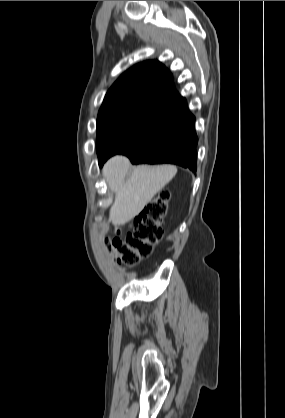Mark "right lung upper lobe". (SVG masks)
<instances>
[{
	"label": "right lung upper lobe",
	"instance_id": "right-lung-upper-lobe-1",
	"mask_svg": "<svg viewBox=\"0 0 285 418\" xmlns=\"http://www.w3.org/2000/svg\"><path fill=\"white\" fill-rule=\"evenodd\" d=\"M123 102H141L177 110L186 99L175 90L170 71L159 61H146L123 73L108 90L100 109Z\"/></svg>",
	"mask_w": 285,
	"mask_h": 418
}]
</instances>
